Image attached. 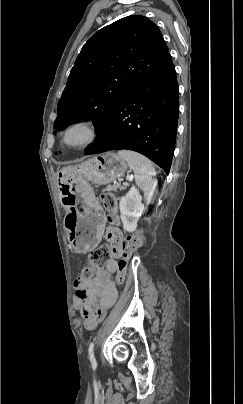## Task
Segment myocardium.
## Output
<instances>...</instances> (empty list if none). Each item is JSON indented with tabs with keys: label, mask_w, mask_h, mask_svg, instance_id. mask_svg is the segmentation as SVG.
Here are the masks:
<instances>
[{
	"label": "myocardium",
	"mask_w": 243,
	"mask_h": 404,
	"mask_svg": "<svg viewBox=\"0 0 243 404\" xmlns=\"http://www.w3.org/2000/svg\"><path fill=\"white\" fill-rule=\"evenodd\" d=\"M77 126H83L88 130L89 136L88 139L81 143V144H77V145H72L70 143H68L67 141V135L70 132V130H72L74 127ZM99 126L98 123L89 117H78L75 119L70 120L69 122H67L62 131H61V135H60V140L61 143L64 147H66L67 149L70 150H84L89 148L90 146H92L98 139L99 137Z\"/></svg>",
	"instance_id": "f54148a6"
}]
</instances>
